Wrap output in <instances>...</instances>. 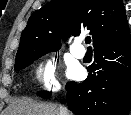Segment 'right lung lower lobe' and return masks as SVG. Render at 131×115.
<instances>
[{
    "instance_id": "98d812e1",
    "label": "right lung lower lobe",
    "mask_w": 131,
    "mask_h": 115,
    "mask_svg": "<svg viewBox=\"0 0 131 115\" xmlns=\"http://www.w3.org/2000/svg\"><path fill=\"white\" fill-rule=\"evenodd\" d=\"M82 83L69 82L68 108L76 115H127L131 108V36L94 49Z\"/></svg>"
}]
</instances>
